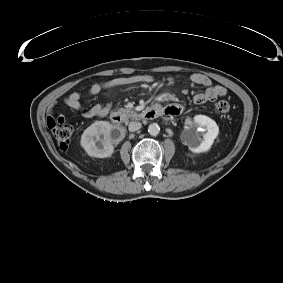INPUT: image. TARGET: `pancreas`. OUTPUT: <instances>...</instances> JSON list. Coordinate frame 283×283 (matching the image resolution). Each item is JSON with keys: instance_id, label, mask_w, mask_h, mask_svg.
<instances>
[{"instance_id": "obj_1", "label": "pancreas", "mask_w": 283, "mask_h": 283, "mask_svg": "<svg viewBox=\"0 0 283 283\" xmlns=\"http://www.w3.org/2000/svg\"><path fill=\"white\" fill-rule=\"evenodd\" d=\"M118 111L120 113H130L131 115H136V113L134 111H132L131 109L120 108Z\"/></svg>"}]
</instances>
